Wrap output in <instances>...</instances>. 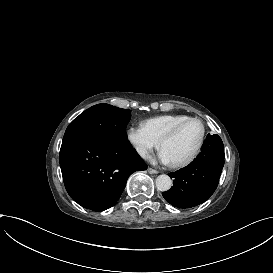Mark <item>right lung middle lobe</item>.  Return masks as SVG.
Returning <instances> with one entry per match:
<instances>
[{
	"instance_id": "right-lung-middle-lobe-1",
	"label": "right lung middle lobe",
	"mask_w": 273,
	"mask_h": 273,
	"mask_svg": "<svg viewBox=\"0 0 273 273\" xmlns=\"http://www.w3.org/2000/svg\"><path fill=\"white\" fill-rule=\"evenodd\" d=\"M129 111L105 103L92 106L70 123L62 142L72 138H91L131 145L125 132Z\"/></svg>"
}]
</instances>
